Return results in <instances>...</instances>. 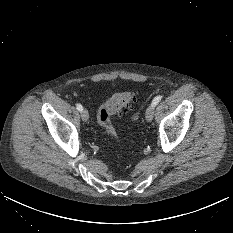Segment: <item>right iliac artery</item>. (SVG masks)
Segmentation results:
<instances>
[{
    "label": "right iliac artery",
    "instance_id": "82829eb1",
    "mask_svg": "<svg viewBox=\"0 0 233 233\" xmlns=\"http://www.w3.org/2000/svg\"><path fill=\"white\" fill-rule=\"evenodd\" d=\"M76 108H77V110H78V111H80V112L83 110L82 105H81V104H79V103H78V104H76Z\"/></svg>",
    "mask_w": 233,
    "mask_h": 233
}]
</instances>
